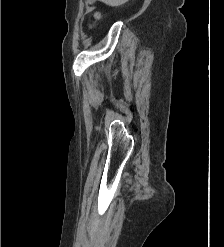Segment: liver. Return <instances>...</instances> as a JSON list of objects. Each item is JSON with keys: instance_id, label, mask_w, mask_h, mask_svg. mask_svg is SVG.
Wrapping results in <instances>:
<instances>
[{"instance_id": "6515ba94", "label": "liver", "mask_w": 224, "mask_h": 247, "mask_svg": "<svg viewBox=\"0 0 224 247\" xmlns=\"http://www.w3.org/2000/svg\"><path fill=\"white\" fill-rule=\"evenodd\" d=\"M99 2H104L106 6H112V8H114V6H122V4H126L128 0H99Z\"/></svg>"}]
</instances>
